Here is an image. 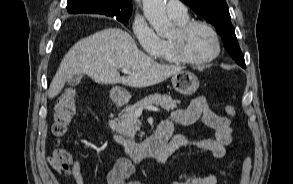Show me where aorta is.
<instances>
[{"label": "aorta", "instance_id": "obj_1", "mask_svg": "<svg viewBox=\"0 0 293 184\" xmlns=\"http://www.w3.org/2000/svg\"><path fill=\"white\" fill-rule=\"evenodd\" d=\"M143 11L158 35L171 32L173 25L166 15V0H143Z\"/></svg>", "mask_w": 293, "mask_h": 184}]
</instances>
